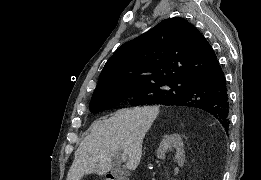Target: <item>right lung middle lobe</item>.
<instances>
[{
    "label": "right lung middle lobe",
    "mask_w": 261,
    "mask_h": 180,
    "mask_svg": "<svg viewBox=\"0 0 261 180\" xmlns=\"http://www.w3.org/2000/svg\"><path fill=\"white\" fill-rule=\"evenodd\" d=\"M187 81L161 80L153 83L133 86L91 99L89 109L92 113L115 107L119 102L134 97L132 105L163 104L181 95Z\"/></svg>",
    "instance_id": "obj_1"
}]
</instances>
